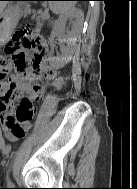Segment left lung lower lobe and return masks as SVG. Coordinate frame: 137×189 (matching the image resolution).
Masks as SVG:
<instances>
[{
    "mask_svg": "<svg viewBox=\"0 0 137 189\" xmlns=\"http://www.w3.org/2000/svg\"><path fill=\"white\" fill-rule=\"evenodd\" d=\"M75 1H88V0H75Z\"/></svg>",
    "mask_w": 137,
    "mask_h": 189,
    "instance_id": "0a47b994",
    "label": "left lung lower lobe"
}]
</instances>
